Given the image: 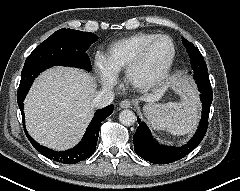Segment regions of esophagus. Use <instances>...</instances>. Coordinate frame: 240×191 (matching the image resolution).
<instances>
[{"mask_svg": "<svg viewBox=\"0 0 240 191\" xmlns=\"http://www.w3.org/2000/svg\"><path fill=\"white\" fill-rule=\"evenodd\" d=\"M131 105H132V103H131V101H129V100H123V101H121V103H120V107H121V108H130Z\"/></svg>", "mask_w": 240, "mask_h": 191, "instance_id": "34e87169", "label": "esophagus"}]
</instances>
